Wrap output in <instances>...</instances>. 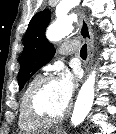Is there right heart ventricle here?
<instances>
[{
    "label": "right heart ventricle",
    "mask_w": 116,
    "mask_h": 134,
    "mask_svg": "<svg viewBox=\"0 0 116 134\" xmlns=\"http://www.w3.org/2000/svg\"><path fill=\"white\" fill-rule=\"evenodd\" d=\"M41 77L35 75L30 79V81L25 86L19 103V115H18V125L21 131L26 133H34L41 130L46 123L35 120L28 112L26 106V99L31 88L36 84V82Z\"/></svg>",
    "instance_id": "e07e8e85"
}]
</instances>
